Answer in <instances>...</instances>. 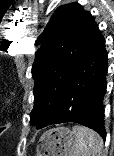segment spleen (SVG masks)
I'll return each mask as SVG.
<instances>
[{"label": "spleen", "instance_id": "obj_1", "mask_svg": "<svg viewBox=\"0 0 114 156\" xmlns=\"http://www.w3.org/2000/svg\"><path fill=\"white\" fill-rule=\"evenodd\" d=\"M75 143L69 156H104L103 139L95 131L77 125L73 127Z\"/></svg>", "mask_w": 114, "mask_h": 156}]
</instances>
